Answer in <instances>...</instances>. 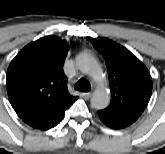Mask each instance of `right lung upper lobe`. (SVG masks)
I'll return each instance as SVG.
<instances>
[{"instance_id":"1","label":"right lung upper lobe","mask_w":165,"mask_h":154,"mask_svg":"<svg viewBox=\"0 0 165 154\" xmlns=\"http://www.w3.org/2000/svg\"><path fill=\"white\" fill-rule=\"evenodd\" d=\"M68 50L65 40L46 36L25 46L11 61L7 71V93L20 118L71 96L63 73Z\"/></svg>"}]
</instances>
